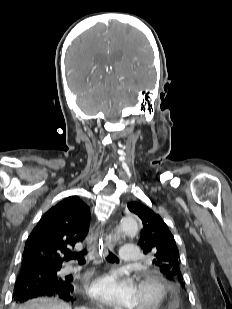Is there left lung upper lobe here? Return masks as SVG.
Segmentation results:
<instances>
[{"label": "left lung upper lobe", "instance_id": "left-lung-upper-lobe-1", "mask_svg": "<svg viewBox=\"0 0 232 309\" xmlns=\"http://www.w3.org/2000/svg\"><path fill=\"white\" fill-rule=\"evenodd\" d=\"M128 209L139 216L143 228L138 245L153 264L171 281L183 283L179 251L173 235L163 219L144 204L132 202Z\"/></svg>", "mask_w": 232, "mask_h": 309}]
</instances>
